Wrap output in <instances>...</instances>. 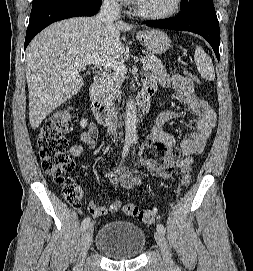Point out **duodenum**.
<instances>
[{"instance_id": "1", "label": "duodenum", "mask_w": 253, "mask_h": 271, "mask_svg": "<svg viewBox=\"0 0 253 271\" xmlns=\"http://www.w3.org/2000/svg\"><path fill=\"white\" fill-rule=\"evenodd\" d=\"M106 75L99 72L94 76L93 82L89 89L90 108L95 115L97 121L103 125H111L113 123V114L108 105L103 103L99 97V87L104 81ZM152 106V93L144 91L138 101L137 108L140 113H147Z\"/></svg>"}]
</instances>
